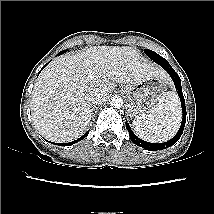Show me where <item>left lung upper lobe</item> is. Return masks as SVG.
<instances>
[{
	"mask_svg": "<svg viewBox=\"0 0 214 214\" xmlns=\"http://www.w3.org/2000/svg\"><path fill=\"white\" fill-rule=\"evenodd\" d=\"M145 54L154 62H156L159 65L168 63L163 57H161L160 55H158L156 52L152 51V50H148L146 49Z\"/></svg>",
	"mask_w": 214,
	"mask_h": 214,
	"instance_id": "obj_1",
	"label": "left lung upper lobe"
}]
</instances>
